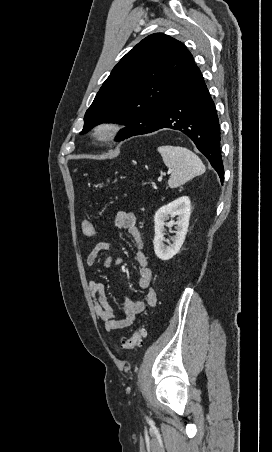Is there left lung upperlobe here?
I'll use <instances>...</instances> for the list:
<instances>
[{
    "instance_id": "left-lung-upper-lobe-1",
    "label": "left lung upper lobe",
    "mask_w": 272,
    "mask_h": 452,
    "mask_svg": "<svg viewBox=\"0 0 272 452\" xmlns=\"http://www.w3.org/2000/svg\"><path fill=\"white\" fill-rule=\"evenodd\" d=\"M193 63L180 41L162 33L149 35L113 68L86 111L80 134L103 122H117L127 126L117 137L119 141L153 126Z\"/></svg>"
}]
</instances>
